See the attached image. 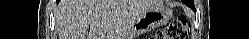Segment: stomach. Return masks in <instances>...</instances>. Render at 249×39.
I'll return each mask as SVG.
<instances>
[{"label":"stomach","mask_w":249,"mask_h":39,"mask_svg":"<svg viewBox=\"0 0 249 39\" xmlns=\"http://www.w3.org/2000/svg\"><path fill=\"white\" fill-rule=\"evenodd\" d=\"M172 11L163 6H155L139 15L131 26L128 37H135L147 33L155 28L161 27L169 22Z\"/></svg>","instance_id":"1"}]
</instances>
